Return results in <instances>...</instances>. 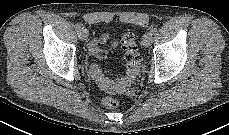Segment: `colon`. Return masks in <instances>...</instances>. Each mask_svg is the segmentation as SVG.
Returning <instances> with one entry per match:
<instances>
[{
	"label": "colon",
	"mask_w": 229,
	"mask_h": 135,
	"mask_svg": "<svg viewBox=\"0 0 229 135\" xmlns=\"http://www.w3.org/2000/svg\"><path fill=\"white\" fill-rule=\"evenodd\" d=\"M122 47L125 51L126 60V76L119 81L109 80L103 74L101 68L97 64L90 65V73L97 83V85L108 95L102 98V104L109 109L118 107V101L110 96L113 93H120L135 80L139 74L141 67V55L135 41V36L132 32L128 31L122 35Z\"/></svg>",
	"instance_id": "colon-1"
}]
</instances>
